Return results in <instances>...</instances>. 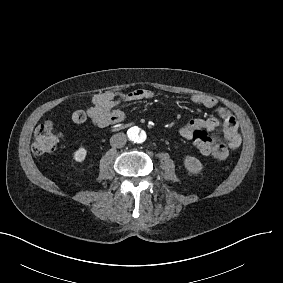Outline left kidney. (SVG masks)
<instances>
[{
	"label": "left kidney",
	"instance_id": "1",
	"mask_svg": "<svg viewBox=\"0 0 283 283\" xmlns=\"http://www.w3.org/2000/svg\"><path fill=\"white\" fill-rule=\"evenodd\" d=\"M184 165L189 172L194 174L199 173L203 167L201 162L197 158L191 156L186 157Z\"/></svg>",
	"mask_w": 283,
	"mask_h": 283
}]
</instances>
